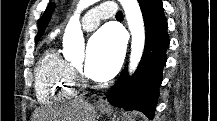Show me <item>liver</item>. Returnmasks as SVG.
<instances>
[{
  "instance_id": "6515ba94",
  "label": "liver",
  "mask_w": 217,
  "mask_h": 121,
  "mask_svg": "<svg viewBox=\"0 0 217 121\" xmlns=\"http://www.w3.org/2000/svg\"><path fill=\"white\" fill-rule=\"evenodd\" d=\"M95 108L84 100L40 111V121H95Z\"/></svg>"
}]
</instances>
